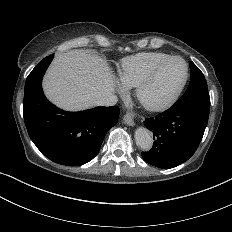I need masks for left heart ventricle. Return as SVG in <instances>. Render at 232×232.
Returning <instances> with one entry per match:
<instances>
[{
	"label": "left heart ventricle",
	"mask_w": 232,
	"mask_h": 232,
	"mask_svg": "<svg viewBox=\"0 0 232 232\" xmlns=\"http://www.w3.org/2000/svg\"><path fill=\"white\" fill-rule=\"evenodd\" d=\"M186 68L181 61H172L162 68L141 91L139 101L145 106H155L166 101L181 85Z\"/></svg>",
	"instance_id": "1"
}]
</instances>
